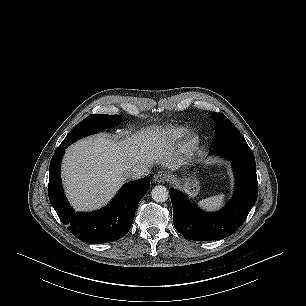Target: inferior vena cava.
<instances>
[{
  "mask_svg": "<svg viewBox=\"0 0 306 306\" xmlns=\"http://www.w3.org/2000/svg\"><path fill=\"white\" fill-rule=\"evenodd\" d=\"M149 166L140 164L135 167H133L129 172H128V177L132 179H140L149 174Z\"/></svg>",
  "mask_w": 306,
  "mask_h": 306,
  "instance_id": "1",
  "label": "inferior vena cava"
}]
</instances>
